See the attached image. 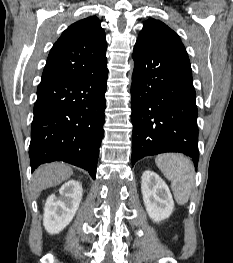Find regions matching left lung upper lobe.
<instances>
[{
    "instance_id": "5c2ea615",
    "label": "left lung upper lobe",
    "mask_w": 233,
    "mask_h": 263,
    "mask_svg": "<svg viewBox=\"0 0 233 263\" xmlns=\"http://www.w3.org/2000/svg\"><path fill=\"white\" fill-rule=\"evenodd\" d=\"M136 44L149 48L186 53L179 36L163 22L149 19L145 22Z\"/></svg>"
}]
</instances>
